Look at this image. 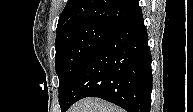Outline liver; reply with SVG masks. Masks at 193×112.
<instances>
[{
  "mask_svg": "<svg viewBox=\"0 0 193 112\" xmlns=\"http://www.w3.org/2000/svg\"><path fill=\"white\" fill-rule=\"evenodd\" d=\"M68 112H124L99 98H85L75 103Z\"/></svg>",
  "mask_w": 193,
  "mask_h": 112,
  "instance_id": "liver-1",
  "label": "liver"
}]
</instances>
